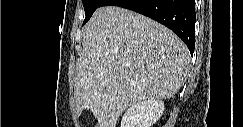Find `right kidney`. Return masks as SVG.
I'll use <instances>...</instances> for the list:
<instances>
[{
    "mask_svg": "<svg viewBox=\"0 0 243 127\" xmlns=\"http://www.w3.org/2000/svg\"><path fill=\"white\" fill-rule=\"evenodd\" d=\"M164 102L145 100L132 104L121 120V127H151L163 114Z\"/></svg>",
    "mask_w": 243,
    "mask_h": 127,
    "instance_id": "1",
    "label": "right kidney"
}]
</instances>
